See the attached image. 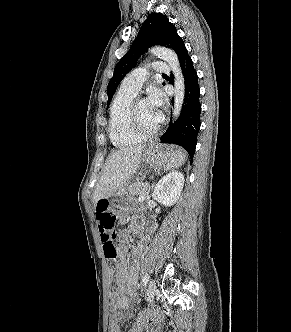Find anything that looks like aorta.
<instances>
[{
    "label": "aorta",
    "instance_id": "aorta-1",
    "mask_svg": "<svg viewBox=\"0 0 291 332\" xmlns=\"http://www.w3.org/2000/svg\"><path fill=\"white\" fill-rule=\"evenodd\" d=\"M149 52L157 56L158 58L164 60L168 63L172 72L174 74V107H173V117L177 119L181 113L182 105L185 97V84L182 70L180 67V62L177 54L168 48L164 47H153Z\"/></svg>",
    "mask_w": 291,
    "mask_h": 332
}]
</instances>
